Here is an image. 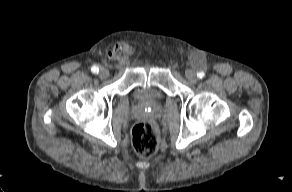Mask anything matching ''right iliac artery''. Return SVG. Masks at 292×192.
<instances>
[{"instance_id": "82829eb1", "label": "right iliac artery", "mask_w": 292, "mask_h": 192, "mask_svg": "<svg viewBox=\"0 0 292 192\" xmlns=\"http://www.w3.org/2000/svg\"><path fill=\"white\" fill-rule=\"evenodd\" d=\"M91 71L93 72V73H98L99 72V68L97 67V66H93L92 68H91Z\"/></svg>"}]
</instances>
